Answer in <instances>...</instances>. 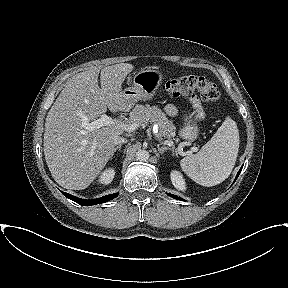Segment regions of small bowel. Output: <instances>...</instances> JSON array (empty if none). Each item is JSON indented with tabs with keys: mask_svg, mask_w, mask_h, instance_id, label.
Returning <instances> with one entry per match:
<instances>
[{
	"mask_svg": "<svg viewBox=\"0 0 288 288\" xmlns=\"http://www.w3.org/2000/svg\"><path fill=\"white\" fill-rule=\"evenodd\" d=\"M190 101L192 103V106L197 114V116H201L202 115V110H201V104H200V101L198 100V98L194 97V96H191L190 97ZM165 111L169 114V115H176L177 114V109L175 106L173 105H167L165 107Z\"/></svg>",
	"mask_w": 288,
	"mask_h": 288,
	"instance_id": "obj_1",
	"label": "small bowel"
}]
</instances>
